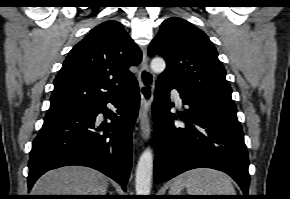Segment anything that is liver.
Returning a JSON list of instances; mask_svg holds the SVG:
<instances>
[{"label":"liver","mask_w":290,"mask_h":199,"mask_svg":"<svg viewBox=\"0 0 290 199\" xmlns=\"http://www.w3.org/2000/svg\"><path fill=\"white\" fill-rule=\"evenodd\" d=\"M108 181L102 173L82 166H67L44 174L33 195H106Z\"/></svg>","instance_id":"obj_1"}]
</instances>
